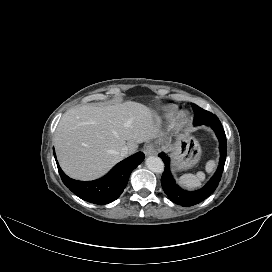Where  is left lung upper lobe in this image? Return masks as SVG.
Instances as JSON below:
<instances>
[{"instance_id": "left-lung-upper-lobe-1", "label": "left lung upper lobe", "mask_w": 272, "mask_h": 272, "mask_svg": "<svg viewBox=\"0 0 272 272\" xmlns=\"http://www.w3.org/2000/svg\"><path fill=\"white\" fill-rule=\"evenodd\" d=\"M192 108L194 110V121L193 124L194 125H200L203 124L207 121L213 120L214 118H216L217 116L200 108L199 106H197L196 104L192 103Z\"/></svg>"}]
</instances>
